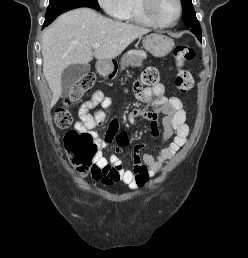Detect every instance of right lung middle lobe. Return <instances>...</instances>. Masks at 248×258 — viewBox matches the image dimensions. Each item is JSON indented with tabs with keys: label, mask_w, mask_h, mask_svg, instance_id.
I'll return each mask as SVG.
<instances>
[{
	"label": "right lung middle lobe",
	"mask_w": 248,
	"mask_h": 258,
	"mask_svg": "<svg viewBox=\"0 0 248 258\" xmlns=\"http://www.w3.org/2000/svg\"><path fill=\"white\" fill-rule=\"evenodd\" d=\"M79 7H90L99 10L97 0H50L45 21L54 19L66 11Z\"/></svg>",
	"instance_id": "obj_1"
}]
</instances>
